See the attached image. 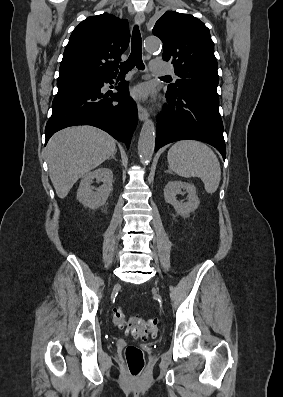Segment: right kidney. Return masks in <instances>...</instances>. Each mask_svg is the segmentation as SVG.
Segmentation results:
<instances>
[{
  "label": "right kidney",
  "mask_w": 283,
  "mask_h": 397,
  "mask_svg": "<svg viewBox=\"0 0 283 397\" xmlns=\"http://www.w3.org/2000/svg\"><path fill=\"white\" fill-rule=\"evenodd\" d=\"M103 182L102 186L95 188L91 186L92 180ZM113 189V173L110 168L101 167L82 176L77 191V199L85 207L96 209L104 205ZM95 190V191H94Z\"/></svg>",
  "instance_id": "obj_1"
}]
</instances>
